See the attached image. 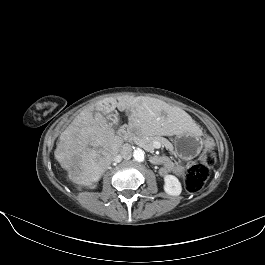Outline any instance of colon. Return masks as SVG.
I'll list each match as a JSON object with an SVG mask.
<instances>
[{"mask_svg": "<svg viewBox=\"0 0 265 265\" xmlns=\"http://www.w3.org/2000/svg\"><path fill=\"white\" fill-rule=\"evenodd\" d=\"M213 142L206 140V152L202 160L190 166L185 175V187L190 193H198L204 187L209 177L211 167L215 162Z\"/></svg>", "mask_w": 265, "mask_h": 265, "instance_id": "5ec220e1", "label": "colon"}]
</instances>
